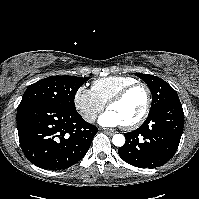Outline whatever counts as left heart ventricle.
<instances>
[{
  "mask_svg": "<svg viewBox=\"0 0 199 199\" xmlns=\"http://www.w3.org/2000/svg\"><path fill=\"white\" fill-rule=\"evenodd\" d=\"M146 101V93L141 87L131 90L125 98L112 106L109 110L114 112L123 124L135 121L143 112Z\"/></svg>",
  "mask_w": 199,
  "mask_h": 199,
  "instance_id": "b2bd125f",
  "label": "left heart ventricle"
}]
</instances>
